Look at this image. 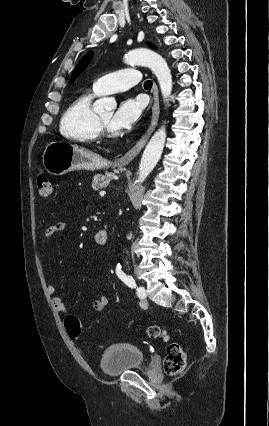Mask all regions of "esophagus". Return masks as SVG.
Instances as JSON below:
<instances>
[{"label":"esophagus","mask_w":269,"mask_h":426,"mask_svg":"<svg viewBox=\"0 0 269 426\" xmlns=\"http://www.w3.org/2000/svg\"><path fill=\"white\" fill-rule=\"evenodd\" d=\"M153 97L154 103L152 106V117L150 125L144 135L141 137V139L136 143V145L121 157L120 161L123 164L130 163L140 153L158 123L160 113L159 91L155 82L153 83Z\"/></svg>","instance_id":"34e87169"}]
</instances>
